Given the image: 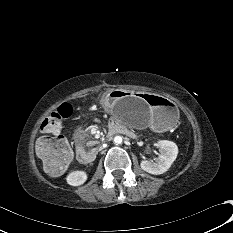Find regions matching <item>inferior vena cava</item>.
Wrapping results in <instances>:
<instances>
[{
    "label": "inferior vena cava",
    "instance_id": "602c4592",
    "mask_svg": "<svg viewBox=\"0 0 233 233\" xmlns=\"http://www.w3.org/2000/svg\"><path fill=\"white\" fill-rule=\"evenodd\" d=\"M99 150H102V146L99 147Z\"/></svg>",
    "mask_w": 233,
    "mask_h": 233
}]
</instances>
